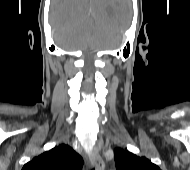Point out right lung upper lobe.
<instances>
[{
    "instance_id": "right-lung-upper-lobe-1",
    "label": "right lung upper lobe",
    "mask_w": 190,
    "mask_h": 170,
    "mask_svg": "<svg viewBox=\"0 0 190 170\" xmlns=\"http://www.w3.org/2000/svg\"><path fill=\"white\" fill-rule=\"evenodd\" d=\"M83 163L71 147L61 144L34 157L22 170H82Z\"/></svg>"
}]
</instances>
